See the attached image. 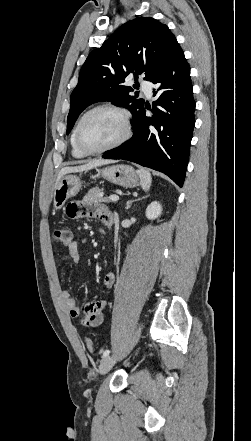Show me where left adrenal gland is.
<instances>
[{
  "label": "left adrenal gland",
  "instance_id": "obj_1",
  "mask_svg": "<svg viewBox=\"0 0 251 441\" xmlns=\"http://www.w3.org/2000/svg\"><path fill=\"white\" fill-rule=\"evenodd\" d=\"M143 198H145V197H143ZM143 198H138V199H135V200H130V201H128L127 204H126L125 209L128 210V209L131 207V205H132L133 202H135V201H139V200H142Z\"/></svg>",
  "mask_w": 251,
  "mask_h": 441
}]
</instances>
